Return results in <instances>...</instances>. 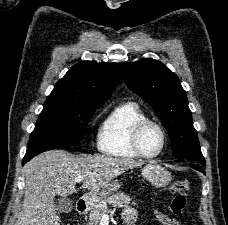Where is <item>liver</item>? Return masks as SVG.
<instances>
[{"mask_svg":"<svg viewBox=\"0 0 228 225\" xmlns=\"http://www.w3.org/2000/svg\"><path fill=\"white\" fill-rule=\"evenodd\" d=\"M142 163L115 159L109 155H71L67 151H46L23 167L25 195L16 225H60L54 205L56 195L76 193L75 179L83 177L80 189L95 193L124 171Z\"/></svg>","mask_w":228,"mask_h":225,"instance_id":"1","label":"liver"}]
</instances>
